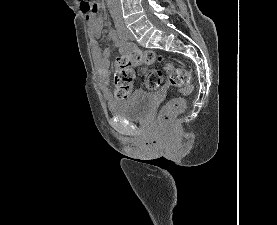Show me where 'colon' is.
I'll return each instance as SVG.
<instances>
[{
    "instance_id": "5ec220e1",
    "label": "colon",
    "mask_w": 277,
    "mask_h": 225,
    "mask_svg": "<svg viewBox=\"0 0 277 225\" xmlns=\"http://www.w3.org/2000/svg\"><path fill=\"white\" fill-rule=\"evenodd\" d=\"M81 9L87 14L98 11V4L93 0H81ZM163 62L162 55L153 50L137 49L126 55H121L115 61L114 88L116 98L123 100L130 96L133 90V67L139 65H153ZM168 81L171 86L180 89L182 96L168 101L160 110L158 122L162 129L168 127L169 122L186 107L185 96L193 92L191 76L184 67L169 63L165 67ZM165 80L161 70H151L146 74L145 87L150 91L158 90Z\"/></svg>"
}]
</instances>
